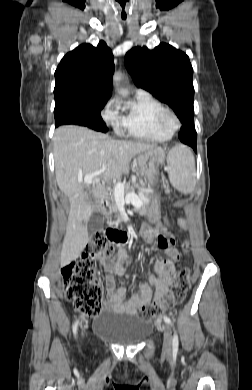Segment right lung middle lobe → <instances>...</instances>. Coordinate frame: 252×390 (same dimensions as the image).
I'll return each mask as SVG.
<instances>
[{"label": "right lung middle lobe", "mask_w": 252, "mask_h": 390, "mask_svg": "<svg viewBox=\"0 0 252 390\" xmlns=\"http://www.w3.org/2000/svg\"><path fill=\"white\" fill-rule=\"evenodd\" d=\"M106 102L68 100L55 104V126L74 124L86 126L96 131L107 132L108 128L101 118L100 111Z\"/></svg>", "instance_id": "dd1d6c3e"}]
</instances>
